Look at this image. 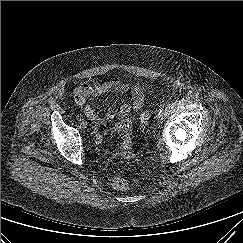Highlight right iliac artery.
Here are the masks:
<instances>
[{"mask_svg":"<svg viewBox=\"0 0 243 243\" xmlns=\"http://www.w3.org/2000/svg\"><path fill=\"white\" fill-rule=\"evenodd\" d=\"M76 119H77L78 121H80V120H81V116H80V115H77V116H76Z\"/></svg>","mask_w":243,"mask_h":243,"instance_id":"obj_1","label":"right iliac artery"}]
</instances>
